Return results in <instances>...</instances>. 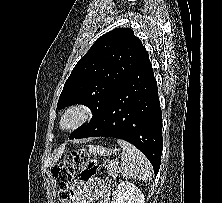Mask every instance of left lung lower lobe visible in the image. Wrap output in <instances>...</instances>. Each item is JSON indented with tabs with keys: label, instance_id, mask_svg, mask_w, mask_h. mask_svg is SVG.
<instances>
[{
	"label": "left lung lower lobe",
	"instance_id": "left-lung-lower-lobe-1",
	"mask_svg": "<svg viewBox=\"0 0 222 203\" xmlns=\"http://www.w3.org/2000/svg\"><path fill=\"white\" fill-rule=\"evenodd\" d=\"M100 136L133 144L151 162L155 175L158 173L163 147L162 112L148 53L75 139Z\"/></svg>",
	"mask_w": 222,
	"mask_h": 203
}]
</instances>
